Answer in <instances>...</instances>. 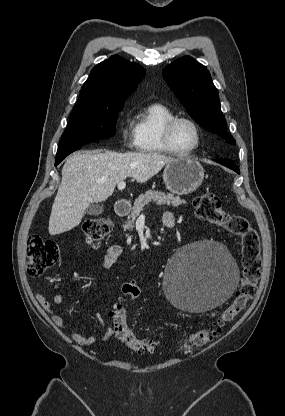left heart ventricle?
Wrapping results in <instances>:
<instances>
[{
	"instance_id": "1",
	"label": "left heart ventricle",
	"mask_w": 285,
	"mask_h": 416,
	"mask_svg": "<svg viewBox=\"0 0 285 416\" xmlns=\"http://www.w3.org/2000/svg\"><path fill=\"white\" fill-rule=\"evenodd\" d=\"M172 141L177 149L189 150L196 145V132L190 123L179 121L173 128Z\"/></svg>"
}]
</instances>
